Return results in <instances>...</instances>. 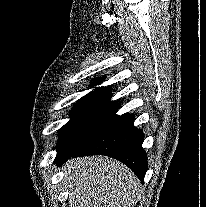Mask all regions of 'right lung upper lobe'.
Wrapping results in <instances>:
<instances>
[{"label":"right lung upper lobe","mask_w":206,"mask_h":207,"mask_svg":"<svg viewBox=\"0 0 206 207\" xmlns=\"http://www.w3.org/2000/svg\"><path fill=\"white\" fill-rule=\"evenodd\" d=\"M104 79L105 78L94 79L92 85L95 86L97 84H100ZM111 97L112 94L109 92V90L106 87H99V88H95L94 91L83 96L79 100H102V99H110Z\"/></svg>","instance_id":"cb5924a9"}]
</instances>
